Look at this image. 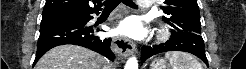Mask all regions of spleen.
I'll return each instance as SVG.
<instances>
[{
    "label": "spleen",
    "instance_id": "obj_1",
    "mask_svg": "<svg viewBox=\"0 0 246 69\" xmlns=\"http://www.w3.org/2000/svg\"><path fill=\"white\" fill-rule=\"evenodd\" d=\"M165 57L169 59L172 69H203L198 60L189 53L167 52Z\"/></svg>",
    "mask_w": 246,
    "mask_h": 69
}]
</instances>
